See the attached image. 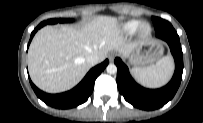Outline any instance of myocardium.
I'll use <instances>...</instances> for the list:
<instances>
[{"mask_svg": "<svg viewBox=\"0 0 203 123\" xmlns=\"http://www.w3.org/2000/svg\"><path fill=\"white\" fill-rule=\"evenodd\" d=\"M152 28L149 23H142L138 29L140 37H147L151 34Z\"/></svg>", "mask_w": 203, "mask_h": 123, "instance_id": "f54148a6", "label": "myocardium"}]
</instances>
